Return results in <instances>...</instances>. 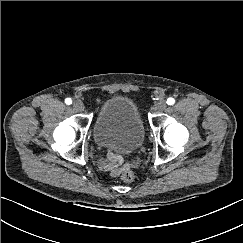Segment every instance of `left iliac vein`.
Returning <instances> with one entry per match:
<instances>
[{"label": "left iliac vein", "mask_w": 243, "mask_h": 243, "mask_svg": "<svg viewBox=\"0 0 243 243\" xmlns=\"http://www.w3.org/2000/svg\"><path fill=\"white\" fill-rule=\"evenodd\" d=\"M167 107L166 101L165 100H160L157 104H156V109L158 111H163L165 108Z\"/></svg>", "instance_id": "4c4485c4"}]
</instances>
